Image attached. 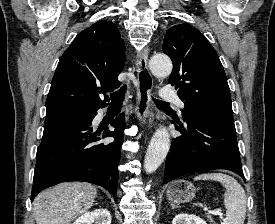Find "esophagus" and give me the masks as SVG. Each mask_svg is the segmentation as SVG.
Wrapping results in <instances>:
<instances>
[{
  "mask_svg": "<svg viewBox=\"0 0 275 224\" xmlns=\"http://www.w3.org/2000/svg\"><path fill=\"white\" fill-rule=\"evenodd\" d=\"M148 55L149 48L146 47L141 51L135 62L138 80L136 115L142 124H145L147 118L153 116L150 111L153 78L147 66Z\"/></svg>",
  "mask_w": 275,
  "mask_h": 224,
  "instance_id": "esophagus-1",
  "label": "esophagus"
}]
</instances>
